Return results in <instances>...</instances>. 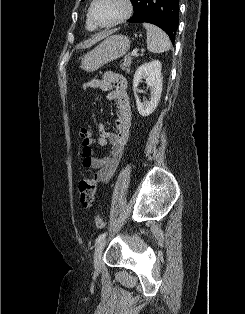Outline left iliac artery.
I'll use <instances>...</instances> for the list:
<instances>
[{"instance_id": "obj_1", "label": "left iliac artery", "mask_w": 245, "mask_h": 314, "mask_svg": "<svg viewBox=\"0 0 245 314\" xmlns=\"http://www.w3.org/2000/svg\"><path fill=\"white\" fill-rule=\"evenodd\" d=\"M106 235H107V232L100 234L98 238L96 239V243H99L102 239L106 237Z\"/></svg>"}]
</instances>
